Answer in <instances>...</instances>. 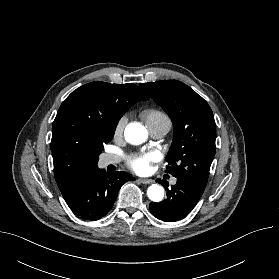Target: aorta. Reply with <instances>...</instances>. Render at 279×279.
<instances>
[{
	"mask_svg": "<svg viewBox=\"0 0 279 279\" xmlns=\"http://www.w3.org/2000/svg\"><path fill=\"white\" fill-rule=\"evenodd\" d=\"M126 140L134 145L142 144L147 139V131L139 123H130L124 132ZM147 196L153 202H160L164 197V189L159 184H152L147 190Z\"/></svg>",
	"mask_w": 279,
	"mask_h": 279,
	"instance_id": "aorta-1",
	"label": "aorta"
}]
</instances>
